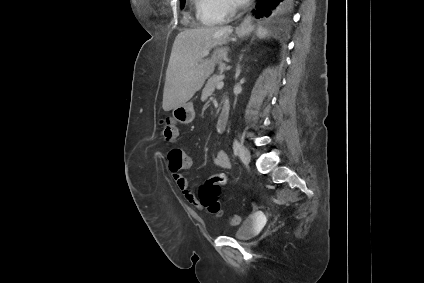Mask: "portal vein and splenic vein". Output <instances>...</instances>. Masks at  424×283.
Instances as JSON below:
<instances>
[{
    "mask_svg": "<svg viewBox=\"0 0 424 283\" xmlns=\"http://www.w3.org/2000/svg\"><path fill=\"white\" fill-rule=\"evenodd\" d=\"M208 54H209V51L208 50H206V51L203 52V55L204 56H206ZM223 86H224V82L223 81H219L216 87H217V89H221Z\"/></svg>",
    "mask_w": 424,
    "mask_h": 283,
    "instance_id": "obj_1",
    "label": "portal vein and splenic vein"
}]
</instances>
